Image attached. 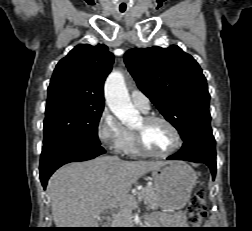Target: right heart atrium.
I'll return each instance as SVG.
<instances>
[{
    "mask_svg": "<svg viewBox=\"0 0 252 231\" xmlns=\"http://www.w3.org/2000/svg\"><path fill=\"white\" fill-rule=\"evenodd\" d=\"M96 129L98 138L103 144L115 151L122 150L127 138V130L108 107L100 113Z\"/></svg>",
    "mask_w": 252,
    "mask_h": 231,
    "instance_id": "obj_1",
    "label": "right heart atrium"
}]
</instances>
